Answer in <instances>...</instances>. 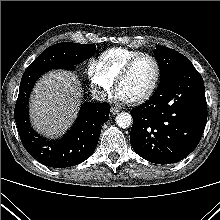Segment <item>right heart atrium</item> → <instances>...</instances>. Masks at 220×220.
Masks as SVG:
<instances>
[{
  "label": "right heart atrium",
  "mask_w": 220,
  "mask_h": 220,
  "mask_svg": "<svg viewBox=\"0 0 220 220\" xmlns=\"http://www.w3.org/2000/svg\"><path fill=\"white\" fill-rule=\"evenodd\" d=\"M87 73L91 86L99 97L104 98L110 94L114 80L106 74L99 61H91Z\"/></svg>",
  "instance_id": "d8ad5b80"
}]
</instances>
